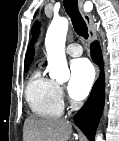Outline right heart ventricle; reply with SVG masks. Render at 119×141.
<instances>
[{
    "label": "right heart ventricle",
    "instance_id": "e07e8e85",
    "mask_svg": "<svg viewBox=\"0 0 119 141\" xmlns=\"http://www.w3.org/2000/svg\"><path fill=\"white\" fill-rule=\"evenodd\" d=\"M25 97L30 109L37 116L58 118L63 113L58 84L45 77L39 69L30 77Z\"/></svg>",
    "mask_w": 119,
    "mask_h": 141
}]
</instances>
